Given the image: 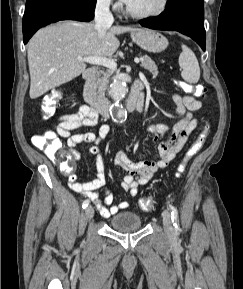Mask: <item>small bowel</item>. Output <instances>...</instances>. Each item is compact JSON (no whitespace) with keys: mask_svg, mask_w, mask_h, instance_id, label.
I'll return each instance as SVG.
<instances>
[{"mask_svg":"<svg viewBox=\"0 0 243 289\" xmlns=\"http://www.w3.org/2000/svg\"><path fill=\"white\" fill-rule=\"evenodd\" d=\"M135 87L141 88V84L136 83ZM172 99L175 103V113L170 119L173 127L169 129L165 122H158L151 123L147 128L155 147L154 159L134 162L123 151H118L114 157V164L125 172L122 188L131 196H136L139 187L147 184L157 171L169 165L197 127L198 121L194 113L201 109V102L191 95L174 94ZM98 119V114L91 107L81 105L76 112L61 115L53 126L52 132L58 138L66 140V145L75 161L80 159V153L75 148L80 144H89L88 151L96 157L97 177L92 181L78 182L74 171L68 178V185L73 191L91 200L102 216L110 217L117 214L119 210L129 207L127 201L113 204L114 196L105 188V163L100 145L108 136L110 127L103 124L97 133H73L77 129L96 125ZM100 190H104L103 199L100 198Z\"/></svg>","mask_w":243,"mask_h":289,"instance_id":"c3829d8e","label":"small bowel"}]
</instances>
